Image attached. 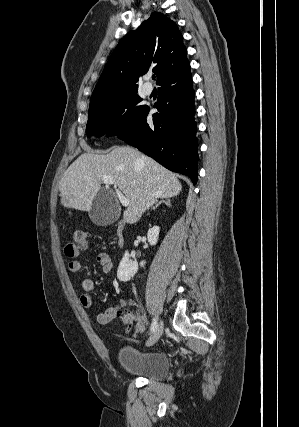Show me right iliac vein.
<instances>
[{"instance_id":"right-iliac-vein-1","label":"right iliac vein","mask_w":299,"mask_h":427,"mask_svg":"<svg viewBox=\"0 0 299 427\" xmlns=\"http://www.w3.org/2000/svg\"><path fill=\"white\" fill-rule=\"evenodd\" d=\"M163 330H164V324L161 321L157 326V328L155 329V331L153 332V334L151 335V337L148 339L146 346L150 347L154 345L162 336Z\"/></svg>"}]
</instances>
